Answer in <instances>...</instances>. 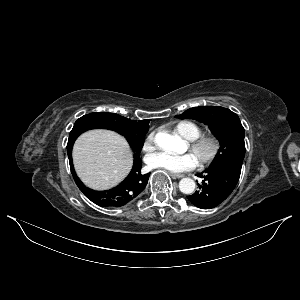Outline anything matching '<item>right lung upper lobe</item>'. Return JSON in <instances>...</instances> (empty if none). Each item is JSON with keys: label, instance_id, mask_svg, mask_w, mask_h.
<instances>
[{"label": "right lung upper lobe", "instance_id": "obj_1", "mask_svg": "<svg viewBox=\"0 0 300 300\" xmlns=\"http://www.w3.org/2000/svg\"><path fill=\"white\" fill-rule=\"evenodd\" d=\"M120 119L124 124L131 127L132 129H136V130H142V129H146V128L149 129V120L133 121V120L127 119L122 116H120ZM147 132H148V130H147Z\"/></svg>", "mask_w": 300, "mask_h": 300}]
</instances>
